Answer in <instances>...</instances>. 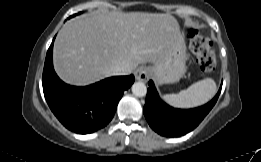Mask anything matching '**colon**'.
<instances>
[{"mask_svg":"<svg viewBox=\"0 0 261 162\" xmlns=\"http://www.w3.org/2000/svg\"><path fill=\"white\" fill-rule=\"evenodd\" d=\"M189 44L200 68L205 72L213 71L216 66V57L210 40L197 32H190Z\"/></svg>","mask_w":261,"mask_h":162,"instance_id":"5ec220e1","label":"colon"}]
</instances>
